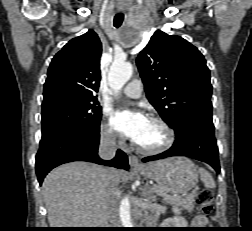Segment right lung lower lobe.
I'll return each instance as SVG.
<instances>
[{
	"instance_id": "1",
	"label": "right lung lower lobe",
	"mask_w": 252,
	"mask_h": 231,
	"mask_svg": "<svg viewBox=\"0 0 252 231\" xmlns=\"http://www.w3.org/2000/svg\"><path fill=\"white\" fill-rule=\"evenodd\" d=\"M99 138V132L72 128H61L43 135L35 165L40 185L51 169L72 161H88L128 170V158L121 150L110 161L98 156Z\"/></svg>"
}]
</instances>
